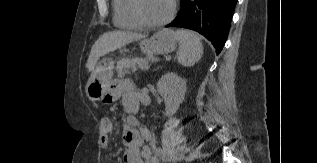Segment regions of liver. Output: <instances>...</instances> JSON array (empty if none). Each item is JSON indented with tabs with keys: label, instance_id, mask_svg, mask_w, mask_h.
I'll use <instances>...</instances> for the list:
<instances>
[{
	"label": "liver",
	"instance_id": "obj_1",
	"mask_svg": "<svg viewBox=\"0 0 317 163\" xmlns=\"http://www.w3.org/2000/svg\"><path fill=\"white\" fill-rule=\"evenodd\" d=\"M145 36L125 31H112L101 35L93 44L86 67L88 72L94 71L100 57L120 49L127 44L143 39Z\"/></svg>",
	"mask_w": 317,
	"mask_h": 163
}]
</instances>
